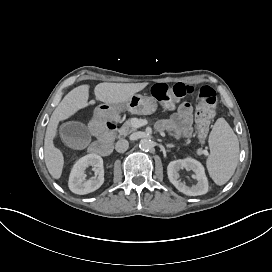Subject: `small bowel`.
Masks as SVG:
<instances>
[{
  "instance_id": "small-bowel-1",
  "label": "small bowel",
  "mask_w": 272,
  "mask_h": 272,
  "mask_svg": "<svg viewBox=\"0 0 272 272\" xmlns=\"http://www.w3.org/2000/svg\"><path fill=\"white\" fill-rule=\"evenodd\" d=\"M193 107L189 103H182L177 112L170 118L157 123L159 131H168L177 138H187L192 133Z\"/></svg>"
}]
</instances>
